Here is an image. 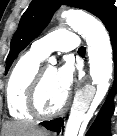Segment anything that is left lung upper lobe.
Wrapping results in <instances>:
<instances>
[{"label":"left lung upper lobe","instance_id":"1","mask_svg":"<svg viewBox=\"0 0 117 136\" xmlns=\"http://www.w3.org/2000/svg\"><path fill=\"white\" fill-rule=\"evenodd\" d=\"M114 3V0H32L11 40L5 74L20 51L42 32L61 5L87 10L105 24L117 14Z\"/></svg>","mask_w":117,"mask_h":136}]
</instances>
